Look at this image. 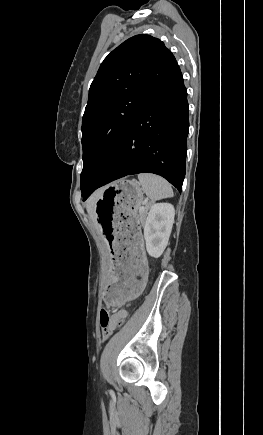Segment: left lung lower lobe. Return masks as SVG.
I'll return each instance as SVG.
<instances>
[{
    "instance_id": "0a47b994",
    "label": "left lung lower lobe",
    "mask_w": 263,
    "mask_h": 435,
    "mask_svg": "<svg viewBox=\"0 0 263 435\" xmlns=\"http://www.w3.org/2000/svg\"><path fill=\"white\" fill-rule=\"evenodd\" d=\"M188 112L187 91L178 68L129 125L108 165L83 195L84 200L105 184L143 172L158 174L181 191Z\"/></svg>"
}]
</instances>
